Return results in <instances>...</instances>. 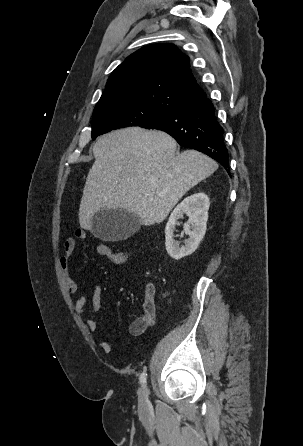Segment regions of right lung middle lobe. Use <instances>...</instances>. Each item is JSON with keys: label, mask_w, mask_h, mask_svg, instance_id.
<instances>
[{"label": "right lung middle lobe", "mask_w": 303, "mask_h": 446, "mask_svg": "<svg viewBox=\"0 0 303 446\" xmlns=\"http://www.w3.org/2000/svg\"><path fill=\"white\" fill-rule=\"evenodd\" d=\"M165 112L167 111L141 104H110L95 108L93 112L92 138L95 139L101 134L123 127L141 126Z\"/></svg>", "instance_id": "obj_1"}]
</instances>
